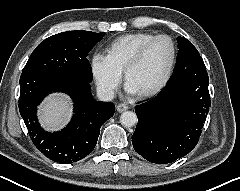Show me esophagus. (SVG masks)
<instances>
[{
  "instance_id": "esophagus-1",
  "label": "esophagus",
  "mask_w": 240,
  "mask_h": 191,
  "mask_svg": "<svg viewBox=\"0 0 240 191\" xmlns=\"http://www.w3.org/2000/svg\"><path fill=\"white\" fill-rule=\"evenodd\" d=\"M128 109H129V106L126 105V104L121 103V104L117 105V111L118 112H124V111H126Z\"/></svg>"
}]
</instances>
